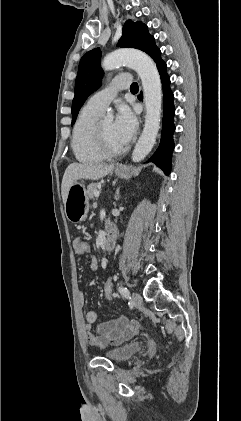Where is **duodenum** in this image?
I'll return each mask as SVG.
<instances>
[{"label":"duodenum","mask_w":241,"mask_h":421,"mask_svg":"<svg viewBox=\"0 0 241 421\" xmlns=\"http://www.w3.org/2000/svg\"><path fill=\"white\" fill-rule=\"evenodd\" d=\"M116 237H117V231L115 228H111L105 239H104V248L107 251H110L114 248L115 245V241H116Z\"/></svg>","instance_id":"410a0bca"}]
</instances>
